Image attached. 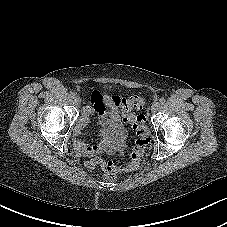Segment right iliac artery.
I'll list each match as a JSON object with an SVG mask.
<instances>
[{"label": "right iliac artery", "instance_id": "82829eb1", "mask_svg": "<svg viewBox=\"0 0 227 227\" xmlns=\"http://www.w3.org/2000/svg\"><path fill=\"white\" fill-rule=\"evenodd\" d=\"M75 93L74 92H70V96L72 97V98H74L75 97Z\"/></svg>", "mask_w": 227, "mask_h": 227}]
</instances>
